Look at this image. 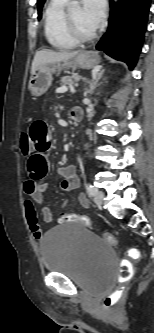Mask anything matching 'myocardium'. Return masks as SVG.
Wrapping results in <instances>:
<instances>
[{"label":"myocardium","instance_id":"f54148a6","mask_svg":"<svg viewBox=\"0 0 154 333\" xmlns=\"http://www.w3.org/2000/svg\"><path fill=\"white\" fill-rule=\"evenodd\" d=\"M64 21H65V26H66V29H67L68 33L78 43H85V42L92 41L97 36L96 31H94V32H92L90 34H84V33H82L78 29V27L76 26V24L74 23L71 15H70L69 8H67L65 10Z\"/></svg>","mask_w":154,"mask_h":333}]
</instances>
